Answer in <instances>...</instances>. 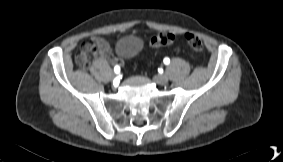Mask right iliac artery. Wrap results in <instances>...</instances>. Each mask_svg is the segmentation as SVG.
I'll return each mask as SVG.
<instances>
[{
  "instance_id": "right-iliac-artery-1",
  "label": "right iliac artery",
  "mask_w": 283,
  "mask_h": 162,
  "mask_svg": "<svg viewBox=\"0 0 283 162\" xmlns=\"http://www.w3.org/2000/svg\"><path fill=\"white\" fill-rule=\"evenodd\" d=\"M114 71H115V73H119L120 67H119L118 65H116V66L114 67Z\"/></svg>"
}]
</instances>
